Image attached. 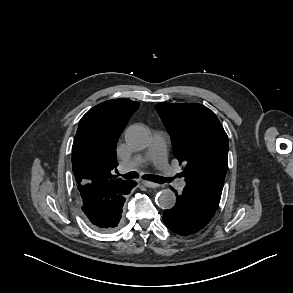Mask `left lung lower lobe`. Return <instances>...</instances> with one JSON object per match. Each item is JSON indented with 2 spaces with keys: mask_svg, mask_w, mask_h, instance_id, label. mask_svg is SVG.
<instances>
[{
  "mask_svg": "<svg viewBox=\"0 0 293 293\" xmlns=\"http://www.w3.org/2000/svg\"><path fill=\"white\" fill-rule=\"evenodd\" d=\"M174 190V189H173ZM218 206L184 188L176 194V204L165 210L163 221L174 233L187 236L198 232L213 218Z\"/></svg>",
  "mask_w": 293,
  "mask_h": 293,
  "instance_id": "left-lung-lower-lobe-1",
  "label": "left lung lower lobe"
}]
</instances>
